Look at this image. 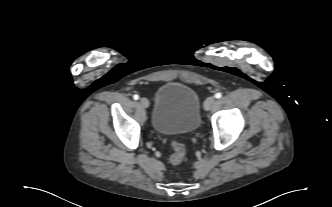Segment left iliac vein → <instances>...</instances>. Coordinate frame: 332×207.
Returning a JSON list of instances; mask_svg holds the SVG:
<instances>
[{"label": "left iliac vein", "instance_id": "1", "mask_svg": "<svg viewBox=\"0 0 332 207\" xmlns=\"http://www.w3.org/2000/svg\"><path fill=\"white\" fill-rule=\"evenodd\" d=\"M215 97L211 96V97H208L205 102H204V109L206 111L210 110L214 105H215Z\"/></svg>", "mask_w": 332, "mask_h": 207}]
</instances>
